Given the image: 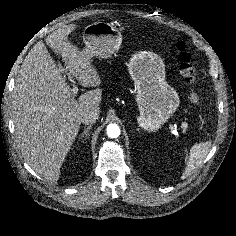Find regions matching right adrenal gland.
<instances>
[{"mask_svg":"<svg viewBox=\"0 0 236 236\" xmlns=\"http://www.w3.org/2000/svg\"><path fill=\"white\" fill-rule=\"evenodd\" d=\"M92 128V125H89L85 128V130L79 135V139H83V137L87 138L89 136L90 129Z\"/></svg>","mask_w":236,"mask_h":236,"instance_id":"obj_1","label":"right adrenal gland"}]
</instances>
